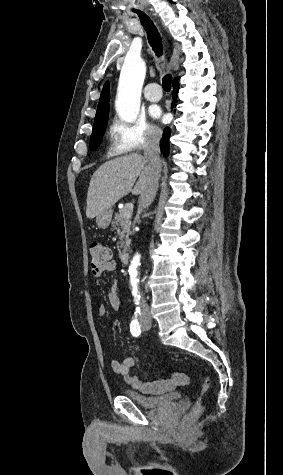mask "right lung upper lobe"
Wrapping results in <instances>:
<instances>
[{
  "instance_id": "1",
  "label": "right lung upper lobe",
  "mask_w": 283,
  "mask_h": 475,
  "mask_svg": "<svg viewBox=\"0 0 283 475\" xmlns=\"http://www.w3.org/2000/svg\"><path fill=\"white\" fill-rule=\"evenodd\" d=\"M109 100H110V94H109V83L106 82L104 84L103 90L101 92L100 100H99V106L103 105H109Z\"/></svg>"
}]
</instances>
